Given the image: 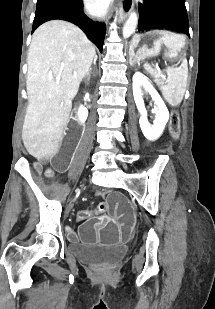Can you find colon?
Listing matches in <instances>:
<instances>
[{
  "instance_id": "colon-1",
  "label": "colon",
  "mask_w": 215,
  "mask_h": 309,
  "mask_svg": "<svg viewBox=\"0 0 215 309\" xmlns=\"http://www.w3.org/2000/svg\"><path fill=\"white\" fill-rule=\"evenodd\" d=\"M170 127H171V134L175 139L179 138L180 134V117L177 111H173L171 113L170 118ZM48 174L51 176L52 172L49 171Z\"/></svg>"
}]
</instances>
